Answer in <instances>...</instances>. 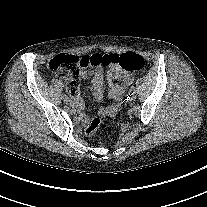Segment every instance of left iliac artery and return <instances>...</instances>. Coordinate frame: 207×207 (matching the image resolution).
I'll return each mask as SVG.
<instances>
[{"label": "left iliac artery", "mask_w": 207, "mask_h": 207, "mask_svg": "<svg viewBox=\"0 0 207 207\" xmlns=\"http://www.w3.org/2000/svg\"><path fill=\"white\" fill-rule=\"evenodd\" d=\"M129 92H130L131 94H134V93L136 92L135 87L132 86V87L129 89Z\"/></svg>", "instance_id": "left-iliac-artery-1"}]
</instances>
